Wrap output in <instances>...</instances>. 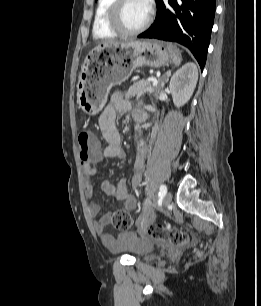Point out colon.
Instances as JSON below:
<instances>
[{"mask_svg": "<svg viewBox=\"0 0 261 306\" xmlns=\"http://www.w3.org/2000/svg\"><path fill=\"white\" fill-rule=\"evenodd\" d=\"M78 145L80 158L83 163L97 160L100 157L101 145L91 130L83 129L80 131ZM110 222L118 230H129L132 227V218L125 210L111 212ZM146 232L153 239L167 242L174 246H184L191 242V235L188 232L161 224L149 226Z\"/></svg>", "mask_w": 261, "mask_h": 306, "instance_id": "5ec220e1", "label": "colon"}]
</instances>
